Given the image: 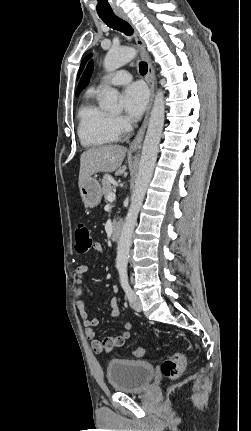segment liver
Segmentation results:
<instances>
[{"mask_svg": "<svg viewBox=\"0 0 251 431\" xmlns=\"http://www.w3.org/2000/svg\"><path fill=\"white\" fill-rule=\"evenodd\" d=\"M127 149L121 145H104L83 152L80 157L79 187L96 173L121 175L125 167H121Z\"/></svg>", "mask_w": 251, "mask_h": 431, "instance_id": "1", "label": "liver"}]
</instances>
